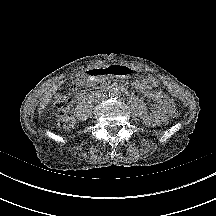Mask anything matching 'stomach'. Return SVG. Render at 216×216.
<instances>
[{"label": "stomach", "instance_id": "0dacf381", "mask_svg": "<svg viewBox=\"0 0 216 216\" xmlns=\"http://www.w3.org/2000/svg\"><path fill=\"white\" fill-rule=\"evenodd\" d=\"M132 75L133 72L127 65L95 66L89 71V76L93 80L106 79L107 77L128 80Z\"/></svg>", "mask_w": 216, "mask_h": 216}]
</instances>
